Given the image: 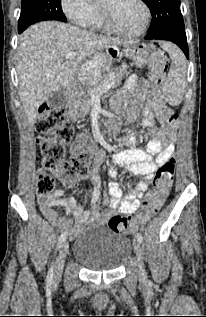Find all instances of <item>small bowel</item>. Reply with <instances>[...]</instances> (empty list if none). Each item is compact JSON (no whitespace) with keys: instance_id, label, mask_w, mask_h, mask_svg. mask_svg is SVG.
I'll return each instance as SVG.
<instances>
[{"instance_id":"c3829d8e","label":"small bowel","mask_w":206,"mask_h":317,"mask_svg":"<svg viewBox=\"0 0 206 317\" xmlns=\"http://www.w3.org/2000/svg\"><path fill=\"white\" fill-rule=\"evenodd\" d=\"M145 102L146 105H144ZM115 105L126 109L128 122L135 121L143 109L142 132L139 135H125L122 143L126 149L117 152L112 160L114 165L126 166L130 173L142 176L143 180L136 186L129 184L127 195H123L119 185L111 181L109 183V196H105L101 191V181L98 175L93 172L91 174L93 188L90 193L91 206L89 209H84L82 205L83 195L80 196L79 202L73 197H66L63 190H57L53 195L39 198L38 203L43 215L60 230L68 231L71 237L82 232L87 224H104L115 212L135 213L140 206L141 198L153 179L154 172L173 156L174 142L177 138L176 128L169 127L165 123L167 115L172 110L164 102L160 88L152 86L145 78L131 75L126 81L125 92L116 97ZM155 119L160 123V127H156ZM138 138H150L145 149L134 147ZM74 148L75 145L72 152ZM101 158L102 155L97 156L98 160ZM108 175L110 178L115 177V167H110ZM75 182L63 183V185L70 188ZM100 204L106 208L101 210ZM56 208H63L67 214H72L75 221L61 216Z\"/></svg>"}]
</instances>
